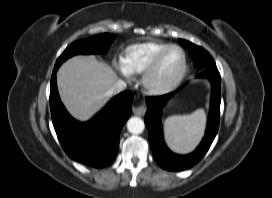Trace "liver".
<instances>
[{
	"label": "liver",
	"instance_id": "6515ba94",
	"mask_svg": "<svg viewBox=\"0 0 272 198\" xmlns=\"http://www.w3.org/2000/svg\"><path fill=\"white\" fill-rule=\"evenodd\" d=\"M117 81V74L93 56L70 58L57 72L62 102L79 121H87L110 100L106 93Z\"/></svg>",
	"mask_w": 272,
	"mask_h": 198
}]
</instances>
